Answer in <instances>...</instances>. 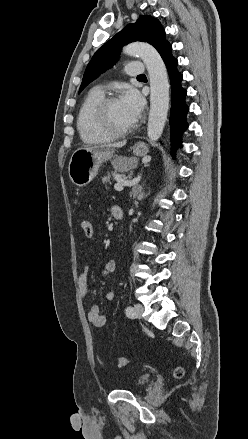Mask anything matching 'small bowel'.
Wrapping results in <instances>:
<instances>
[{
	"instance_id": "small-bowel-1",
	"label": "small bowel",
	"mask_w": 248,
	"mask_h": 439,
	"mask_svg": "<svg viewBox=\"0 0 248 439\" xmlns=\"http://www.w3.org/2000/svg\"><path fill=\"white\" fill-rule=\"evenodd\" d=\"M116 269L115 261H108L103 269V276L109 277ZM78 284L82 297L87 298L95 294V289L90 282V270L88 266H85L78 276ZM106 298L108 300H113L115 298V293L112 290L106 292ZM89 321L97 328L104 327L106 325L107 319L100 311L97 305L90 307L88 311Z\"/></svg>"
}]
</instances>
